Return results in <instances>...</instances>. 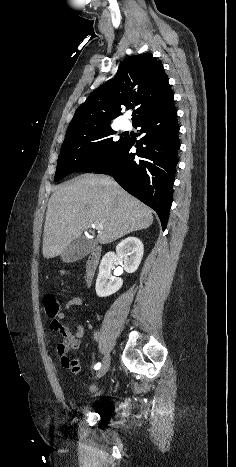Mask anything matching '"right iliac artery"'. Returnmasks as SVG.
<instances>
[{"label":"right iliac artery","mask_w":236,"mask_h":467,"mask_svg":"<svg viewBox=\"0 0 236 467\" xmlns=\"http://www.w3.org/2000/svg\"><path fill=\"white\" fill-rule=\"evenodd\" d=\"M100 367H101V363L98 362V363L94 366V369H95V370H98V369H100Z\"/></svg>","instance_id":"right-iliac-artery-1"}]
</instances>
